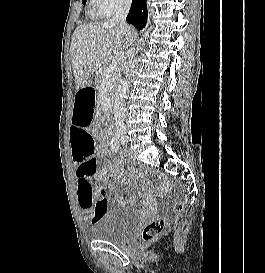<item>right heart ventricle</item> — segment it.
Here are the masks:
<instances>
[{
	"mask_svg": "<svg viewBox=\"0 0 265 273\" xmlns=\"http://www.w3.org/2000/svg\"><path fill=\"white\" fill-rule=\"evenodd\" d=\"M91 15L93 17H104V15L99 14L93 7H92V10H91Z\"/></svg>",
	"mask_w": 265,
	"mask_h": 273,
	"instance_id": "right-heart-ventricle-1",
	"label": "right heart ventricle"
}]
</instances>
